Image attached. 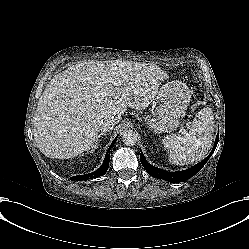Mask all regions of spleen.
<instances>
[{
    "label": "spleen",
    "instance_id": "3e777b00",
    "mask_svg": "<svg viewBox=\"0 0 249 249\" xmlns=\"http://www.w3.org/2000/svg\"><path fill=\"white\" fill-rule=\"evenodd\" d=\"M214 125L207 109H202L184 135L172 134L162 139L170 162L177 165L191 164L202 159L213 140Z\"/></svg>",
    "mask_w": 249,
    "mask_h": 249
}]
</instances>
